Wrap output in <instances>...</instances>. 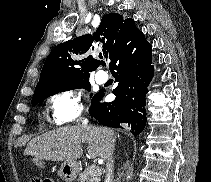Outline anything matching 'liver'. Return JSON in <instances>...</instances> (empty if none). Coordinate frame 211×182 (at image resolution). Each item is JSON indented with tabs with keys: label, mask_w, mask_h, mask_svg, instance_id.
I'll return each instance as SVG.
<instances>
[{
	"label": "liver",
	"mask_w": 211,
	"mask_h": 182,
	"mask_svg": "<svg viewBox=\"0 0 211 182\" xmlns=\"http://www.w3.org/2000/svg\"><path fill=\"white\" fill-rule=\"evenodd\" d=\"M101 129H105L106 133L103 134ZM115 141L114 132L107 128L67 126L33 138L24 154L37 160L75 162L83 154L81 143H87L91 158H103L107 149L113 151Z\"/></svg>",
	"instance_id": "obj_1"
}]
</instances>
